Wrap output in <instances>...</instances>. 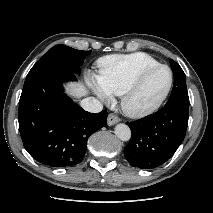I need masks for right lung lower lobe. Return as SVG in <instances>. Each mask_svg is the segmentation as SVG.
Masks as SVG:
<instances>
[{
	"label": "right lung lower lobe",
	"mask_w": 213,
	"mask_h": 213,
	"mask_svg": "<svg viewBox=\"0 0 213 213\" xmlns=\"http://www.w3.org/2000/svg\"><path fill=\"white\" fill-rule=\"evenodd\" d=\"M75 72L47 65L31 69L19 101V130L23 145L38 162L51 167L78 164L91 134L107 123V112L90 113L62 93V83Z\"/></svg>",
	"instance_id": "1"
}]
</instances>
